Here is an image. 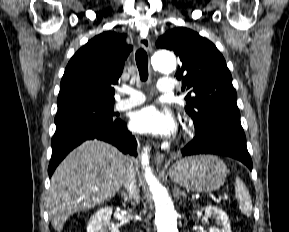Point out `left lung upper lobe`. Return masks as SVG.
Returning a JSON list of instances; mask_svg holds the SVG:
<instances>
[{"label": "left lung upper lobe", "instance_id": "1", "mask_svg": "<svg viewBox=\"0 0 289 232\" xmlns=\"http://www.w3.org/2000/svg\"><path fill=\"white\" fill-rule=\"evenodd\" d=\"M156 46L173 50L182 63L176 77L182 80V90H189L185 110L195 131L241 125L231 73L212 42L188 28L177 27L160 36Z\"/></svg>", "mask_w": 289, "mask_h": 232}]
</instances>
